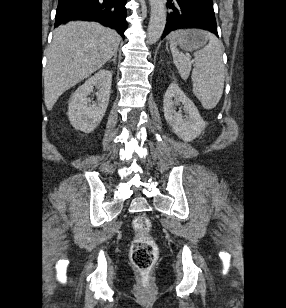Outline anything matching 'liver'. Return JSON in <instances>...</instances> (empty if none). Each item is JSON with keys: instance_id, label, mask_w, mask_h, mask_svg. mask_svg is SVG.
<instances>
[{"instance_id": "6515ba94", "label": "liver", "mask_w": 286, "mask_h": 308, "mask_svg": "<svg viewBox=\"0 0 286 308\" xmlns=\"http://www.w3.org/2000/svg\"><path fill=\"white\" fill-rule=\"evenodd\" d=\"M120 35L94 22L73 21L53 32L44 73V103L51 110L68 89L117 53Z\"/></svg>"}]
</instances>
